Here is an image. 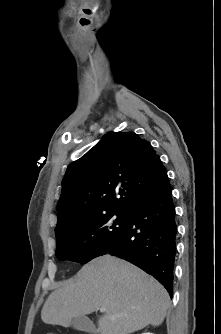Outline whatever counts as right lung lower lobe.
I'll use <instances>...</instances> for the list:
<instances>
[{"instance_id": "98d812e1", "label": "right lung lower lobe", "mask_w": 221, "mask_h": 334, "mask_svg": "<svg viewBox=\"0 0 221 334\" xmlns=\"http://www.w3.org/2000/svg\"><path fill=\"white\" fill-rule=\"evenodd\" d=\"M128 215L121 238L104 254L138 266L156 278L172 296L177 225L168 177L141 199Z\"/></svg>"}]
</instances>
